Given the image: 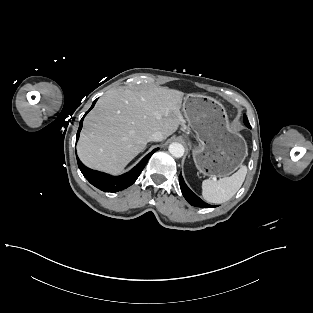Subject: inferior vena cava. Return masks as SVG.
<instances>
[{
  "instance_id": "1",
  "label": "inferior vena cava",
  "mask_w": 313,
  "mask_h": 313,
  "mask_svg": "<svg viewBox=\"0 0 313 313\" xmlns=\"http://www.w3.org/2000/svg\"><path fill=\"white\" fill-rule=\"evenodd\" d=\"M164 139V135L160 131H156L149 136V141H162Z\"/></svg>"
}]
</instances>
